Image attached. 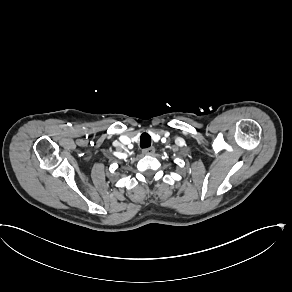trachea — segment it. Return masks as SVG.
<instances>
[{
  "label": "trachea",
  "instance_id": "trachea-1",
  "mask_svg": "<svg viewBox=\"0 0 292 292\" xmlns=\"http://www.w3.org/2000/svg\"><path fill=\"white\" fill-rule=\"evenodd\" d=\"M151 137L147 133H143L140 137V147L141 148H148L151 146Z\"/></svg>",
  "mask_w": 292,
  "mask_h": 292
}]
</instances>
